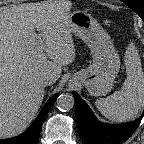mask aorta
<instances>
[{"instance_id":"obj_1","label":"aorta","mask_w":144,"mask_h":144,"mask_svg":"<svg viewBox=\"0 0 144 144\" xmlns=\"http://www.w3.org/2000/svg\"><path fill=\"white\" fill-rule=\"evenodd\" d=\"M74 106V98L70 94H61L56 100V107L62 111H70Z\"/></svg>"}]
</instances>
